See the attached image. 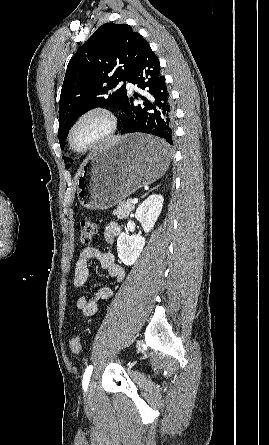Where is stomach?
I'll return each instance as SVG.
<instances>
[{"mask_svg":"<svg viewBox=\"0 0 269 445\" xmlns=\"http://www.w3.org/2000/svg\"><path fill=\"white\" fill-rule=\"evenodd\" d=\"M155 141L152 136L129 134L92 154L77 179L80 204L90 210L109 209L159 179L169 166L170 154H147L144 145Z\"/></svg>","mask_w":269,"mask_h":445,"instance_id":"obj_1","label":"stomach"}]
</instances>
